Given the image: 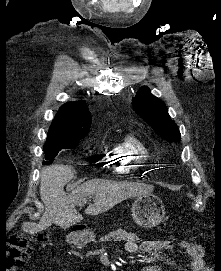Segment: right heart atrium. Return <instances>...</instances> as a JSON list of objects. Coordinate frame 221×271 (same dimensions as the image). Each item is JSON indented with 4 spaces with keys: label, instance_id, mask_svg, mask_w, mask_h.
<instances>
[{
    "label": "right heart atrium",
    "instance_id": "d8ad5b80",
    "mask_svg": "<svg viewBox=\"0 0 221 271\" xmlns=\"http://www.w3.org/2000/svg\"><path fill=\"white\" fill-rule=\"evenodd\" d=\"M103 156V159H113V155L115 154H109V151H102L100 153Z\"/></svg>",
    "mask_w": 221,
    "mask_h": 271
}]
</instances>
